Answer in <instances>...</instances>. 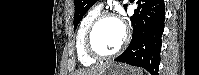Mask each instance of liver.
<instances>
[{
	"mask_svg": "<svg viewBox=\"0 0 199 75\" xmlns=\"http://www.w3.org/2000/svg\"><path fill=\"white\" fill-rule=\"evenodd\" d=\"M108 66L109 65L107 64L102 66H95L90 69L79 70L76 72V75H102Z\"/></svg>",
	"mask_w": 199,
	"mask_h": 75,
	"instance_id": "1",
	"label": "liver"
}]
</instances>
